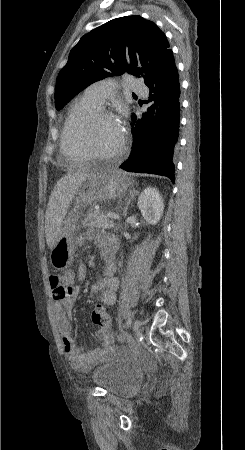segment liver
<instances>
[{
	"label": "liver",
	"instance_id": "liver-1",
	"mask_svg": "<svg viewBox=\"0 0 245 450\" xmlns=\"http://www.w3.org/2000/svg\"><path fill=\"white\" fill-rule=\"evenodd\" d=\"M96 172V169L89 168L70 172L63 176L54 186L49 197L45 214L46 242L50 249L53 248L56 242L67 210L72 203L79 186Z\"/></svg>",
	"mask_w": 245,
	"mask_h": 450
}]
</instances>
